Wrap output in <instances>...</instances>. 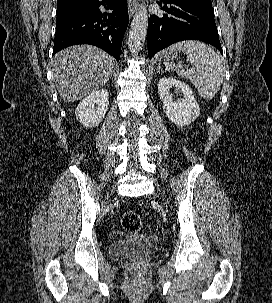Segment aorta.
<instances>
[{"instance_id": "1", "label": "aorta", "mask_w": 272, "mask_h": 303, "mask_svg": "<svg viewBox=\"0 0 272 303\" xmlns=\"http://www.w3.org/2000/svg\"><path fill=\"white\" fill-rule=\"evenodd\" d=\"M148 28L147 7L143 4L135 13L130 25L128 48L132 54H137L143 47Z\"/></svg>"}]
</instances>
